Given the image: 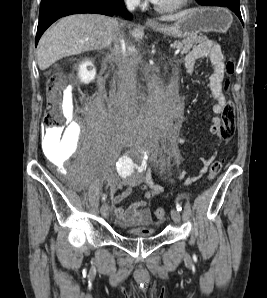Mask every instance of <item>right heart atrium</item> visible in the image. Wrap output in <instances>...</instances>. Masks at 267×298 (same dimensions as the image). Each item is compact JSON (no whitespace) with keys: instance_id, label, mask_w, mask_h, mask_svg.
<instances>
[{"instance_id":"right-heart-atrium-1","label":"right heart atrium","mask_w":267,"mask_h":298,"mask_svg":"<svg viewBox=\"0 0 267 298\" xmlns=\"http://www.w3.org/2000/svg\"><path fill=\"white\" fill-rule=\"evenodd\" d=\"M130 5H139L141 0H126Z\"/></svg>"}]
</instances>
